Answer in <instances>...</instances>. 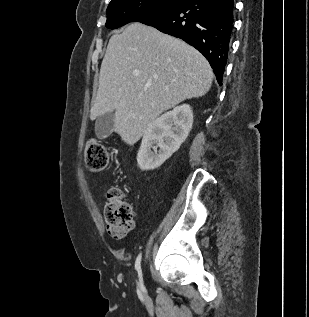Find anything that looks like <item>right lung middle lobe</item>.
<instances>
[{
    "instance_id": "obj_1",
    "label": "right lung middle lobe",
    "mask_w": 309,
    "mask_h": 317,
    "mask_svg": "<svg viewBox=\"0 0 309 317\" xmlns=\"http://www.w3.org/2000/svg\"><path fill=\"white\" fill-rule=\"evenodd\" d=\"M186 0H112L107 8L106 27L115 29L138 17L178 5Z\"/></svg>"
}]
</instances>
